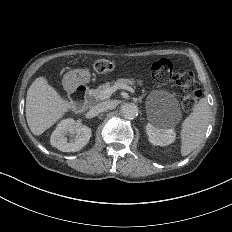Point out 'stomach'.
<instances>
[{
	"label": "stomach",
	"mask_w": 232,
	"mask_h": 232,
	"mask_svg": "<svg viewBox=\"0 0 232 232\" xmlns=\"http://www.w3.org/2000/svg\"><path fill=\"white\" fill-rule=\"evenodd\" d=\"M90 69L89 68H84L82 70H80L78 78H83L85 77L86 80L85 81H89L90 80Z\"/></svg>",
	"instance_id": "obj_1"
}]
</instances>
